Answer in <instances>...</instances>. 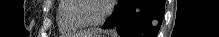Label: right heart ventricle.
Segmentation results:
<instances>
[{
	"label": "right heart ventricle",
	"instance_id": "1",
	"mask_svg": "<svg viewBox=\"0 0 219 37\" xmlns=\"http://www.w3.org/2000/svg\"><path fill=\"white\" fill-rule=\"evenodd\" d=\"M71 0H60L56 6L58 27L61 33H71L82 29L83 27L77 25L69 15L72 8Z\"/></svg>",
	"mask_w": 219,
	"mask_h": 37
}]
</instances>
